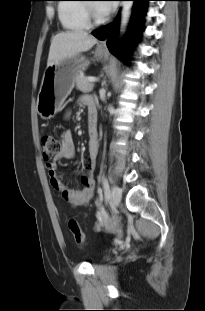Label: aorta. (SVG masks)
<instances>
[{
	"instance_id": "obj_1",
	"label": "aorta",
	"mask_w": 205,
	"mask_h": 311,
	"mask_svg": "<svg viewBox=\"0 0 205 311\" xmlns=\"http://www.w3.org/2000/svg\"><path fill=\"white\" fill-rule=\"evenodd\" d=\"M133 1H122L121 25L120 30L124 32L129 22Z\"/></svg>"
}]
</instances>
